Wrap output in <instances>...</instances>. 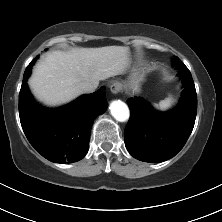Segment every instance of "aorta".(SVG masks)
<instances>
[{
	"instance_id": "762f6f07",
	"label": "aorta",
	"mask_w": 222,
	"mask_h": 222,
	"mask_svg": "<svg viewBox=\"0 0 222 222\" xmlns=\"http://www.w3.org/2000/svg\"><path fill=\"white\" fill-rule=\"evenodd\" d=\"M109 109L111 115L119 122H125L130 117L128 106L121 100L112 101Z\"/></svg>"
}]
</instances>
